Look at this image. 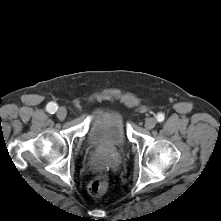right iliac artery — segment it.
Segmentation results:
<instances>
[{
  "instance_id": "1",
  "label": "right iliac artery",
  "mask_w": 221,
  "mask_h": 221,
  "mask_svg": "<svg viewBox=\"0 0 221 221\" xmlns=\"http://www.w3.org/2000/svg\"><path fill=\"white\" fill-rule=\"evenodd\" d=\"M46 109L49 113L54 114L57 111L58 106H57V104L50 102V103H48Z\"/></svg>"
}]
</instances>
